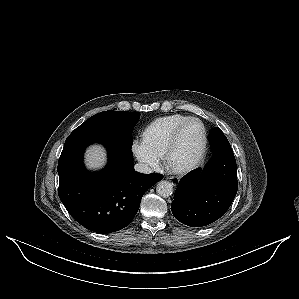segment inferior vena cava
Segmentation results:
<instances>
[{"mask_svg":"<svg viewBox=\"0 0 299 299\" xmlns=\"http://www.w3.org/2000/svg\"><path fill=\"white\" fill-rule=\"evenodd\" d=\"M134 169H135V171H137L139 173H143V174L152 173V169L144 163L135 164Z\"/></svg>","mask_w":299,"mask_h":299,"instance_id":"obj_1","label":"inferior vena cava"}]
</instances>
